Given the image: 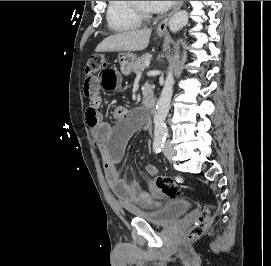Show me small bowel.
Segmentation results:
<instances>
[{
  "label": "small bowel",
  "instance_id": "obj_1",
  "mask_svg": "<svg viewBox=\"0 0 271 266\" xmlns=\"http://www.w3.org/2000/svg\"><path fill=\"white\" fill-rule=\"evenodd\" d=\"M121 72L117 66L107 63L84 82V95L88 98L85 111L86 122L96 142L103 148L102 161L107 183L113 193L128 206L142 208L160 207L163 194L152 183L142 188L134 179L122 178L118 162L122 158L130 136L141 127L142 117L138 110L116 107L114 118L117 124L112 126L102 119L100 113L101 90H115L121 82ZM152 176L158 173L153 165L146 167Z\"/></svg>",
  "mask_w": 271,
  "mask_h": 266
}]
</instances>
